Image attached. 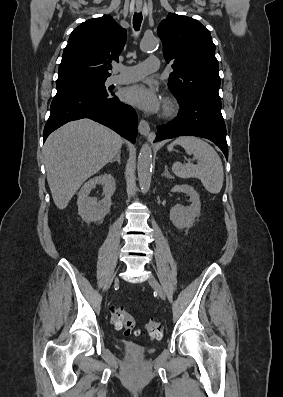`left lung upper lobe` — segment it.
<instances>
[{
	"label": "left lung upper lobe",
	"mask_w": 283,
	"mask_h": 397,
	"mask_svg": "<svg viewBox=\"0 0 283 397\" xmlns=\"http://www.w3.org/2000/svg\"><path fill=\"white\" fill-rule=\"evenodd\" d=\"M157 33L164 58L174 69L168 86L178 101L201 99L221 105L219 66L210 31L191 17L169 13Z\"/></svg>",
	"instance_id": "1"
}]
</instances>
